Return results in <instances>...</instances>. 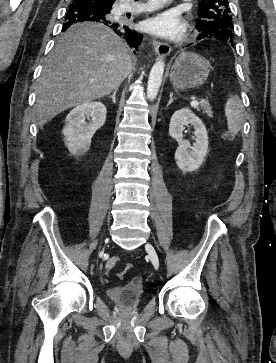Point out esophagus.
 <instances>
[{
  "label": "esophagus",
  "instance_id": "34e87169",
  "mask_svg": "<svg viewBox=\"0 0 276 363\" xmlns=\"http://www.w3.org/2000/svg\"><path fill=\"white\" fill-rule=\"evenodd\" d=\"M154 48L155 52L160 56H167L171 51V48L168 44L159 42L157 40L154 41Z\"/></svg>",
  "mask_w": 276,
  "mask_h": 363
}]
</instances>
